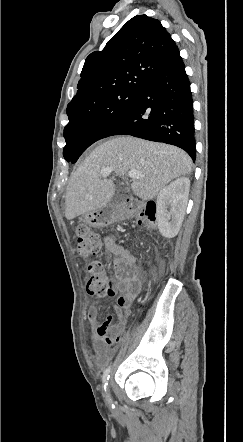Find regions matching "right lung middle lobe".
<instances>
[{"label": "right lung middle lobe", "mask_w": 243, "mask_h": 442, "mask_svg": "<svg viewBox=\"0 0 243 442\" xmlns=\"http://www.w3.org/2000/svg\"><path fill=\"white\" fill-rule=\"evenodd\" d=\"M138 92H119L89 108L71 113L69 123L64 128V158L75 163L91 144L102 139L104 132L127 111Z\"/></svg>", "instance_id": "dd1d6c3e"}]
</instances>
